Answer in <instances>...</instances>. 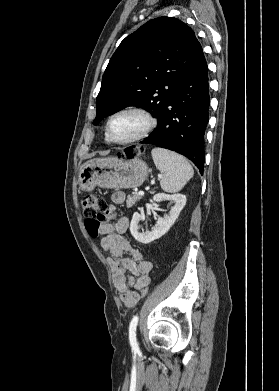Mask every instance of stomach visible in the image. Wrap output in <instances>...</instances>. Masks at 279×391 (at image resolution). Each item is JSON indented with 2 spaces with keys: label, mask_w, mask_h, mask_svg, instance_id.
Listing matches in <instances>:
<instances>
[{
  "label": "stomach",
  "mask_w": 279,
  "mask_h": 391,
  "mask_svg": "<svg viewBox=\"0 0 279 391\" xmlns=\"http://www.w3.org/2000/svg\"><path fill=\"white\" fill-rule=\"evenodd\" d=\"M149 173L140 159L121 160L115 157L96 158L85 162L79 172L78 184L84 191L96 186L107 189H129L141 186Z\"/></svg>",
  "instance_id": "stomach-1"
}]
</instances>
